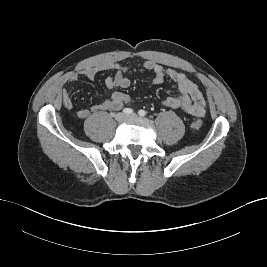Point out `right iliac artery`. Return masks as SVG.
I'll return each mask as SVG.
<instances>
[{"instance_id":"right-iliac-artery-1","label":"right iliac artery","mask_w":267,"mask_h":267,"mask_svg":"<svg viewBox=\"0 0 267 267\" xmlns=\"http://www.w3.org/2000/svg\"><path fill=\"white\" fill-rule=\"evenodd\" d=\"M123 113H125V114H132L133 113V110L130 109V108H125V109H123Z\"/></svg>"}]
</instances>
